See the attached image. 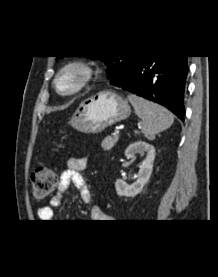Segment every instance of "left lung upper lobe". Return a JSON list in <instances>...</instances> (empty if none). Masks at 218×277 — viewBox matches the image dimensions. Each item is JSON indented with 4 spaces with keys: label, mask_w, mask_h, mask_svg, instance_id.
Here are the masks:
<instances>
[{
    "label": "left lung upper lobe",
    "mask_w": 218,
    "mask_h": 277,
    "mask_svg": "<svg viewBox=\"0 0 218 277\" xmlns=\"http://www.w3.org/2000/svg\"><path fill=\"white\" fill-rule=\"evenodd\" d=\"M94 59L105 61L108 66L107 74L110 78L122 72L127 66L129 60L132 58L130 55L126 56H88ZM57 58H60L57 56Z\"/></svg>",
    "instance_id": "5c2ea615"
}]
</instances>
